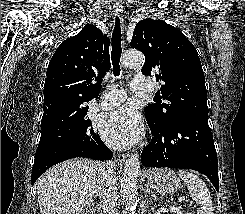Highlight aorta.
I'll return each instance as SVG.
<instances>
[{"mask_svg":"<svg viewBox=\"0 0 245 214\" xmlns=\"http://www.w3.org/2000/svg\"><path fill=\"white\" fill-rule=\"evenodd\" d=\"M144 56L139 51H128L123 56V65L128 68H141L144 65ZM140 156L132 153L126 160L121 178V190L130 214H135L138 202L137 179L140 171Z\"/></svg>","mask_w":245,"mask_h":214,"instance_id":"obj_1","label":"aorta"}]
</instances>
